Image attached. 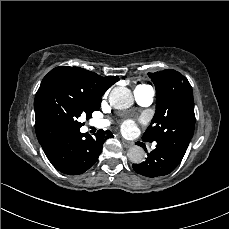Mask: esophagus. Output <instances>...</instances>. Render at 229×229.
Returning a JSON list of instances; mask_svg holds the SVG:
<instances>
[{"instance_id": "34e87169", "label": "esophagus", "mask_w": 229, "mask_h": 229, "mask_svg": "<svg viewBox=\"0 0 229 229\" xmlns=\"http://www.w3.org/2000/svg\"><path fill=\"white\" fill-rule=\"evenodd\" d=\"M121 142H122V145L125 147V148H130L133 146V142L132 141H128V140H125V139H121Z\"/></svg>"}]
</instances>
